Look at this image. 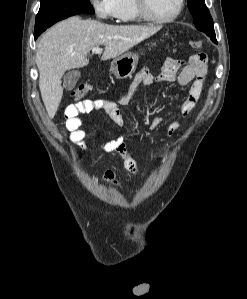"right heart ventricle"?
<instances>
[{
    "label": "right heart ventricle",
    "instance_id": "obj_1",
    "mask_svg": "<svg viewBox=\"0 0 247 299\" xmlns=\"http://www.w3.org/2000/svg\"><path fill=\"white\" fill-rule=\"evenodd\" d=\"M115 18L123 23L139 22L135 0H115Z\"/></svg>",
    "mask_w": 247,
    "mask_h": 299
}]
</instances>
